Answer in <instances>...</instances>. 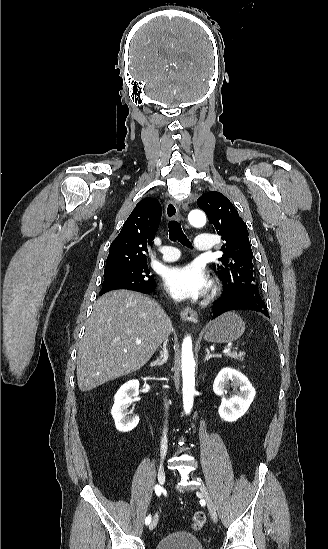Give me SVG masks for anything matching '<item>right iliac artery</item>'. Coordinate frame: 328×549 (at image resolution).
Returning <instances> with one entry per match:
<instances>
[{"mask_svg":"<svg viewBox=\"0 0 328 549\" xmlns=\"http://www.w3.org/2000/svg\"><path fill=\"white\" fill-rule=\"evenodd\" d=\"M161 492H162V487H161L160 485L157 484V485L155 486V493H156V495H157V496H160V495H161ZM150 522H151V516L149 515V516L146 517V519H145V524L148 525V524H150Z\"/></svg>","mask_w":328,"mask_h":549,"instance_id":"1","label":"right iliac artery"}]
</instances>
